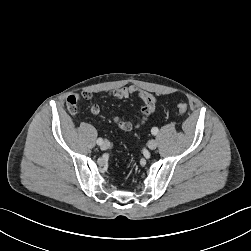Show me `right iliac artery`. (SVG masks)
Returning <instances> with one entry per match:
<instances>
[{
  "label": "right iliac artery",
  "mask_w": 251,
  "mask_h": 251,
  "mask_svg": "<svg viewBox=\"0 0 251 251\" xmlns=\"http://www.w3.org/2000/svg\"><path fill=\"white\" fill-rule=\"evenodd\" d=\"M102 143H103V139H102V138H98V139H97V144H98V145H101Z\"/></svg>",
  "instance_id": "82829eb1"
}]
</instances>
